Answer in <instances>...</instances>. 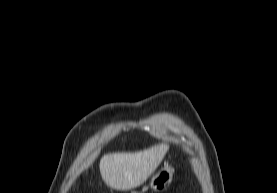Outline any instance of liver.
<instances>
[{
    "label": "liver",
    "instance_id": "liver-1",
    "mask_svg": "<svg viewBox=\"0 0 277 193\" xmlns=\"http://www.w3.org/2000/svg\"><path fill=\"white\" fill-rule=\"evenodd\" d=\"M169 146L157 144L135 153H110L100 160V173L107 186L119 191L140 186L157 169Z\"/></svg>",
    "mask_w": 277,
    "mask_h": 193
}]
</instances>
